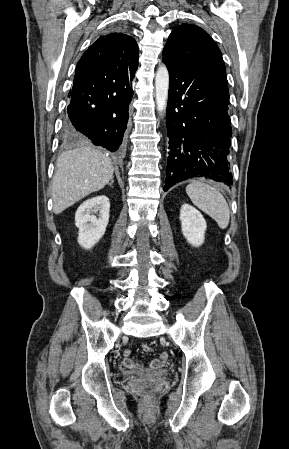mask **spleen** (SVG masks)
<instances>
[{"mask_svg": "<svg viewBox=\"0 0 289 449\" xmlns=\"http://www.w3.org/2000/svg\"><path fill=\"white\" fill-rule=\"evenodd\" d=\"M186 193L195 206L214 219L219 228H227L230 210L224 196L214 187L193 181L186 187Z\"/></svg>", "mask_w": 289, "mask_h": 449, "instance_id": "spleen-1", "label": "spleen"}]
</instances>
